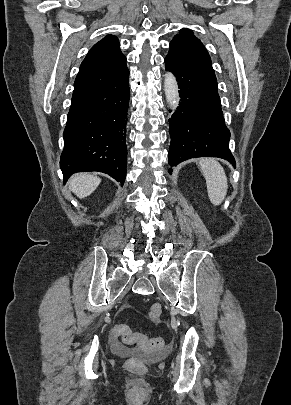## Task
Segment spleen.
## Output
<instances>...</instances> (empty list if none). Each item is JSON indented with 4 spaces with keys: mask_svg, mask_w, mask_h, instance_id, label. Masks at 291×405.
I'll list each match as a JSON object with an SVG mask.
<instances>
[{
    "mask_svg": "<svg viewBox=\"0 0 291 405\" xmlns=\"http://www.w3.org/2000/svg\"><path fill=\"white\" fill-rule=\"evenodd\" d=\"M199 168L207 185V192L212 204L220 205L224 200L228 182L223 167L212 158L200 160Z\"/></svg>",
    "mask_w": 291,
    "mask_h": 405,
    "instance_id": "obj_1",
    "label": "spleen"
}]
</instances>
